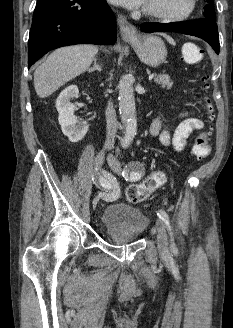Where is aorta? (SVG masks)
Here are the masks:
<instances>
[{
  "instance_id": "762f6f07",
  "label": "aorta",
  "mask_w": 233,
  "mask_h": 328,
  "mask_svg": "<svg viewBox=\"0 0 233 328\" xmlns=\"http://www.w3.org/2000/svg\"><path fill=\"white\" fill-rule=\"evenodd\" d=\"M119 110L126 133L122 139V145L128 147L136 135L137 120L135 98L133 91V79L124 75L119 81Z\"/></svg>"
}]
</instances>
